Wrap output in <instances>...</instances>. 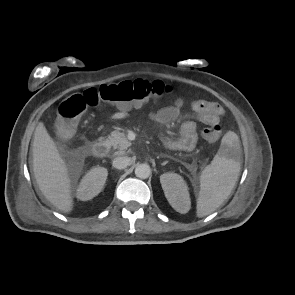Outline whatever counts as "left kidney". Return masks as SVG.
I'll list each match as a JSON object with an SVG mask.
<instances>
[{
  "instance_id": "left-kidney-1",
  "label": "left kidney",
  "mask_w": 295,
  "mask_h": 295,
  "mask_svg": "<svg viewBox=\"0 0 295 295\" xmlns=\"http://www.w3.org/2000/svg\"><path fill=\"white\" fill-rule=\"evenodd\" d=\"M160 182L169 204L179 213L185 214L190 210L188 186L183 177L169 172L160 176Z\"/></svg>"
}]
</instances>
